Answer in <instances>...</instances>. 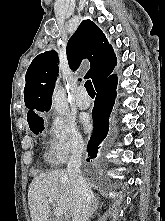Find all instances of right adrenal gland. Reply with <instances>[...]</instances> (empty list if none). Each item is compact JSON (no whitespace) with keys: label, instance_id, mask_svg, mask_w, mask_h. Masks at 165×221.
<instances>
[{"label":"right adrenal gland","instance_id":"1","mask_svg":"<svg viewBox=\"0 0 165 221\" xmlns=\"http://www.w3.org/2000/svg\"><path fill=\"white\" fill-rule=\"evenodd\" d=\"M99 206H100L99 198L95 196L92 201V209H91L90 217L93 216V214L96 212V210L99 208Z\"/></svg>","mask_w":165,"mask_h":221}]
</instances>
